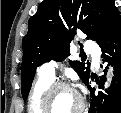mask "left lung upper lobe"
Wrapping results in <instances>:
<instances>
[{
    "label": "left lung upper lobe",
    "instance_id": "1",
    "mask_svg": "<svg viewBox=\"0 0 121 113\" xmlns=\"http://www.w3.org/2000/svg\"><path fill=\"white\" fill-rule=\"evenodd\" d=\"M120 17L114 0H44L29 19L23 38L22 96L27 99L36 69L50 60L70 55V42L78 29L98 44L105 40ZM84 84L90 78L85 63L70 60ZM89 65V64H88Z\"/></svg>",
    "mask_w": 121,
    "mask_h": 113
}]
</instances>
